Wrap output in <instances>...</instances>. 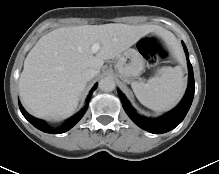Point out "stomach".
Returning <instances> with one entry per match:
<instances>
[{
  "label": "stomach",
  "instance_id": "obj_1",
  "mask_svg": "<svg viewBox=\"0 0 219 174\" xmlns=\"http://www.w3.org/2000/svg\"><path fill=\"white\" fill-rule=\"evenodd\" d=\"M144 65L140 52L137 49L128 48L119 56L115 68L123 81L131 82L141 75Z\"/></svg>",
  "mask_w": 219,
  "mask_h": 174
}]
</instances>
